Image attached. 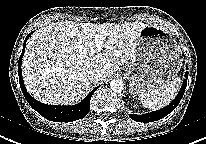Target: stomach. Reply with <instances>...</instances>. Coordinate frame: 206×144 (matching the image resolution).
<instances>
[{
  "label": "stomach",
  "mask_w": 206,
  "mask_h": 144,
  "mask_svg": "<svg viewBox=\"0 0 206 144\" xmlns=\"http://www.w3.org/2000/svg\"><path fill=\"white\" fill-rule=\"evenodd\" d=\"M181 60L180 47L171 35L161 27L146 25L126 66L130 93L140 96L160 88L178 73Z\"/></svg>",
  "instance_id": "0dacf381"
}]
</instances>
